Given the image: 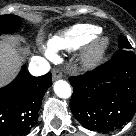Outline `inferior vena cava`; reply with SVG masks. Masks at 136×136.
<instances>
[{"instance_id":"1","label":"inferior vena cava","mask_w":136,"mask_h":136,"mask_svg":"<svg viewBox=\"0 0 136 136\" xmlns=\"http://www.w3.org/2000/svg\"><path fill=\"white\" fill-rule=\"evenodd\" d=\"M49 69V63L40 56H34L29 64V72L33 76H42L48 73Z\"/></svg>"}]
</instances>
